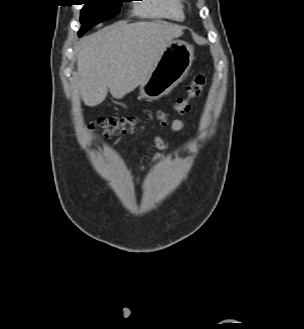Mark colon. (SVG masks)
<instances>
[{
    "instance_id": "5ec220e1",
    "label": "colon",
    "mask_w": 304,
    "mask_h": 329,
    "mask_svg": "<svg viewBox=\"0 0 304 329\" xmlns=\"http://www.w3.org/2000/svg\"><path fill=\"white\" fill-rule=\"evenodd\" d=\"M205 75L201 72L195 74L187 86V95L176 100L174 110L179 114H184L189 110L190 101L197 97L205 84ZM147 120H157L160 125L168 122V113L159 110L146 116ZM138 118L134 116L101 118L91 124L93 131L100 135L108 136L118 133H134L137 131Z\"/></svg>"
}]
</instances>
